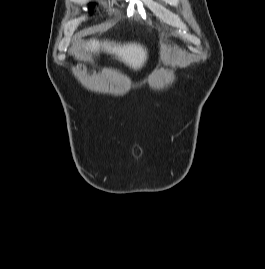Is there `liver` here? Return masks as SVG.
I'll return each instance as SVG.
<instances>
[{
  "mask_svg": "<svg viewBox=\"0 0 265 269\" xmlns=\"http://www.w3.org/2000/svg\"><path fill=\"white\" fill-rule=\"evenodd\" d=\"M87 50L99 52L100 50L115 55L120 61L132 67L134 70L140 69L146 59V49L137 43L116 44L114 42H99L91 40L87 43Z\"/></svg>",
  "mask_w": 265,
  "mask_h": 269,
  "instance_id": "liver-1",
  "label": "liver"
}]
</instances>
